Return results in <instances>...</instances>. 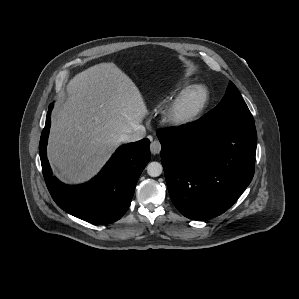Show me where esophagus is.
Segmentation results:
<instances>
[{
  "instance_id": "34e87169",
  "label": "esophagus",
  "mask_w": 299,
  "mask_h": 299,
  "mask_svg": "<svg viewBox=\"0 0 299 299\" xmlns=\"http://www.w3.org/2000/svg\"><path fill=\"white\" fill-rule=\"evenodd\" d=\"M150 150L152 154H159L161 151V144L158 140H154L153 142H151L150 145Z\"/></svg>"
}]
</instances>
